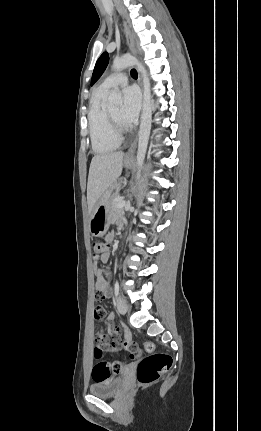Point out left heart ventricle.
Returning <instances> with one entry per match:
<instances>
[{
  "instance_id": "1",
  "label": "left heart ventricle",
  "mask_w": 261,
  "mask_h": 431,
  "mask_svg": "<svg viewBox=\"0 0 261 431\" xmlns=\"http://www.w3.org/2000/svg\"><path fill=\"white\" fill-rule=\"evenodd\" d=\"M110 114L112 115V117L119 123V124H121L122 125V123H121V121H120V112H121V110H120V108L119 107H116V108H113V109H111L110 111Z\"/></svg>"
}]
</instances>
